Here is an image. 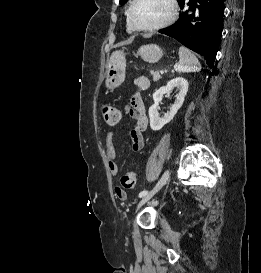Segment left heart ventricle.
Here are the masks:
<instances>
[{
  "instance_id": "obj_1",
  "label": "left heart ventricle",
  "mask_w": 261,
  "mask_h": 273,
  "mask_svg": "<svg viewBox=\"0 0 261 273\" xmlns=\"http://www.w3.org/2000/svg\"><path fill=\"white\" fill-rule=\"evenodd\" d=\"M169 12L167 0H138L132 11V20L138 27H149L164 21Z\"/></svg>"
}]
</instances>
